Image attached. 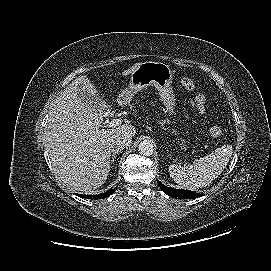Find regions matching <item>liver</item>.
<instances>
[{"instance_id": "6515ba94", "label": "liver", "mask_w": 271, "mask_h": 271, "mask_svg": "<svg viewBox=\"0 0 271 271\" xmlns=\"http://www.w3.org/2000/svg\"><path fill=\"white\" fill-rule=\"evenodd\" d=\"M140 64H134L122 75L131 74ZM78 86L100 97L86 75L76 78L50 110L45 136L53 170L59 178L77 191H91L102 186L110 172L113 137L120 132L135 136L136 130L128 124L101 128L102 115L79 100Z\"/></svg>"}]
</instances>
